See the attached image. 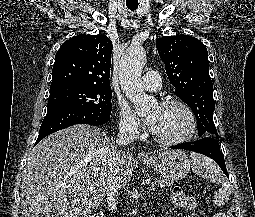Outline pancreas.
<instances>
[{
  "label": "pancreas",
  "instance_id": "1",
  "mask_svg": "<svg viewBox=\"0 0 255 217\" xmlns=\"http://www.w3.org/2000/svg\"><path fill=\"white\" fill-rule=\"evenodd\" d=\"M159 184H160L161 188H166V187H169L170 185H172L173 182L170 180H161V181H159Z\"/></svg>",
  "mask_w": 255,
  "mask_h": 217
}]
</instances>
